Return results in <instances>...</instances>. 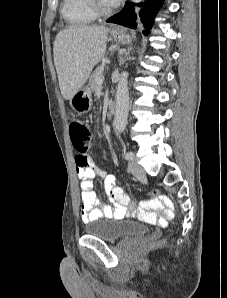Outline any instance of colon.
<instances>
[{
	"instance_id": "colon-1",
	"label": "colon",
	"mask_w": 227,
	"mask_h": 298,
	"mask_svg": "<svg viewBox=\"0 0 227 298\" xmlns=\"http://www.w3.org/2000/svg\"><path fill=\"white\" fill-rule=\"evenodd\" d=\"M70 138L75 150H89L92 142V135L89 127L81 120L71 121L69 126ZM147 205L163 210L164 217L170 219L173 215L171 202L167 197L159 195L156 191L151 194V199Z\"/></svg>"
}]
</instances>
